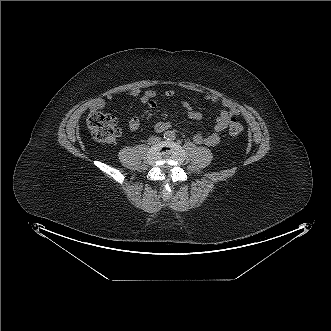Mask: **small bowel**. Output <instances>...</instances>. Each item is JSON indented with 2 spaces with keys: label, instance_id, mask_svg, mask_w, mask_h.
I'll return each mask as SVG.
<instances>
[{
  "label": "small bowel",
  "instance_id": "small-bowel-1",
  "mask_svg": "<svg viewBox=\"0 0 331 331\" xmlns=\"http://www.w3.org/2000/svg\"><path fill=\"white\" fill-rule=\"evenodd\" d=\"M125 95L139 99L150 109H156L158 107V103L156 101L157 93L154 90H142L140 88H133L125 92ZM164 95L166 97H173L175 95V91L166 90ZM114 97V94H108L106 96L108 100H113ZM203 99L213 104L221 105L222 109L215 120L212 132L207 136L203 135L202 133H196L193 136V141L198 145L215 147L219 145L221 141V133L227 128L231 118L239 115L240 110L234 102L218 95H206L203 97ZM104 106L105 100L103 98L96 99L91 105L93 109H102ZM183 106L186 108L187 119L192 121H200L203 118L202 113L192 107L187 101L183 102ZM140 124V118L134 116L128 121V128L131 131H136L140 127ZM169 125L170 124L168 122L160 121L155 124L154 128L157 132H163L169 127Z\"/></svg>",
  "mask_w": 331,
  "mask_h": 331
}]
</instances>
